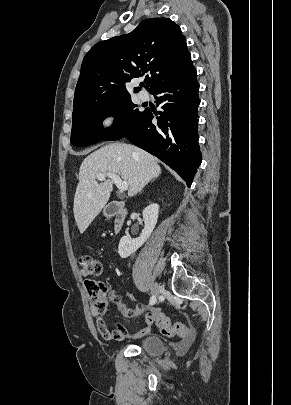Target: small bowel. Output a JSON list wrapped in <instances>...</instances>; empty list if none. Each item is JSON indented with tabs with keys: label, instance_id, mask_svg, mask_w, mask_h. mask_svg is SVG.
<instances>
[{
	"label": "small bowel",
	"instance_id": "obj_1",
	"mask_svg": "<svg viewBox=\"0 0 291 405\" xmlns=\"http://www.w3.org/2000/svg\"><path fill=\"white\" fill-rule=\"evenodd\" d=\"M109 300L115 304L117 309L128 318L136 317L144 313L145 308L142 305H138L135 309L128 308L123 302L121 297L116 293L115 290L111 289L108 293ZM93 316L95 317L96 327L100 335L107 341H121L126 338H141L149 334L153 327V322L149 315L146 316V324L138 332L133 335H129L125 327L121 323L116 324L114 330H110L104 319L94 310H92Z\"/></svg>",
	"mask_w": 291,
	"mask_h": 405
}]
</instances>
